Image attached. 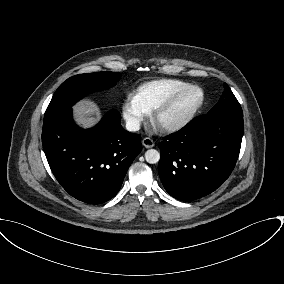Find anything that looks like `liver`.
Returning a JSON list of instances; mask_svg holds the SVG:
<instances>
[{
  "label": "liver",
  "instance_id": "1",
  "mask_svg": "<svg viewBox=\"0 0 284 284\" xmlns=\"http://www.w3.org/2000/svg\"><path fill=\"white\" fill-rule=\"evenodd\" d=\"M75 111L83 124L92 125L94 123L97 108L91 102H81L75 107Z\"/></svg>",
  "mask_w": 284,
  "mask_h": 284
}]
</instances>
